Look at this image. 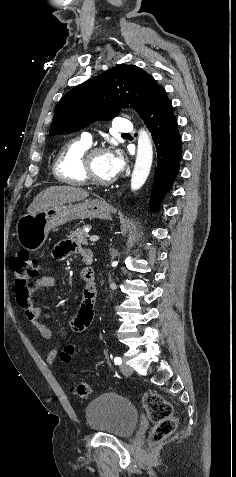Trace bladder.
Masks as SVG:
<instances>
[{
  "label": "bladder",
  "mask_w": 236,
  "mask_h": 477,
  "mask_svg": "<svg viewBox=\"0 0 236 477\" xmlns=\"http://www.w3.org/2000/svg\"><path fill=\"white\" fill-rule=\"evenodd\" d=\"M85 419L90 430L127 438L138 425L139 413L136 406L123 396L107 392L88 404Z\"/></svg>",
  "instance_id": "1"
}]
</instances>
